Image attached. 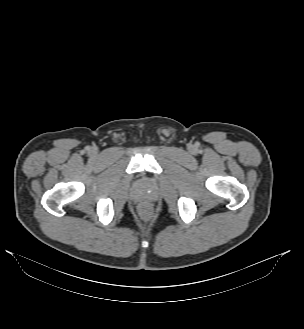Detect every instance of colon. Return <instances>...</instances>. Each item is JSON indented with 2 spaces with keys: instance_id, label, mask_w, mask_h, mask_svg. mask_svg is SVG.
<instances>
[{
  "instance_id": "colon-1",
  "label": "colon",
  "mask_w": 304,
  "mask_h": 329,
  "mask_svg": "<svg viewBox=\"0 0 304 329\" xmlns=\"http://www.w3.org/2000/svg\"><path fill=\"white\" fill-rule=\"evenodd\" d=\"M141 213H142V215L148 216V215H150L151 210L147 206H142L141 207Z\"/></svg>"
}]
</instances>
